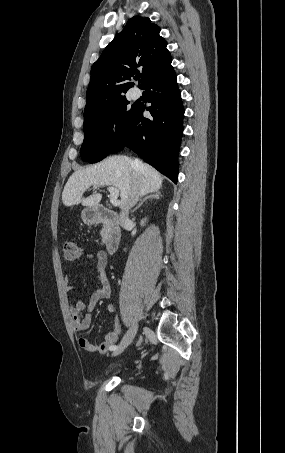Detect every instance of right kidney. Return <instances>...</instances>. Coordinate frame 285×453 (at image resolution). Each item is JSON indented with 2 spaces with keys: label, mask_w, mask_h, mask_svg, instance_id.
<instances>
[{
  "label": "right kidney",
  "mask_w": 285,
  "mask_h": 453,
  "mask_svg": "<svg viewBox=\"0 0 285 453\" xmlns=\"http://www.w3.org/2000/svg\"><path fill=\"white\" fill-rule=\"evenodd\" d=\"M145 222H146V219L142 220L141 225L144 226Z\"/></svg>",
  "instance_id": "right-kidney-1"
}]
</instances>
